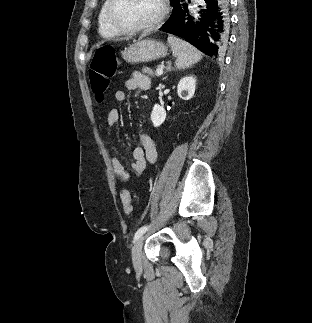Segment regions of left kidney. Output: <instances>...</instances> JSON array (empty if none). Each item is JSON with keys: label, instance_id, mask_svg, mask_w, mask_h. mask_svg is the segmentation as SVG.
I'll return each mask as SVG.
<instances>
[{"label": "left kidney", "instance_id": "obj_1", "mask_svg": "<svg viewBox=\"0 0 312 323\" xmlns=\"http://www.w3.org/2000/svg\"><path fill=\"white\" fill-rule=\"evenodd\" d=\"M195 84L196 78H193V76H185V78H182L177 86V94L179 98H182V100H191L195 94ZM151 120L155 128H158V126H161V124L165 122L166 112L164 110V106L155 104L152 110Z\"/></svg>", "mask_w": 312, "mask_h": 323}]
</instances>
